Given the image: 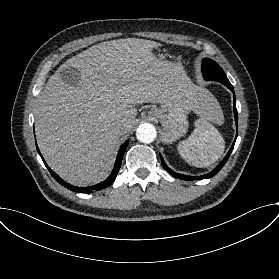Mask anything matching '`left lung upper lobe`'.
I'll use <instances>...</instances> for the list:
<instances>
[{"label": "left lung upper lobe", "mask_w": 279, "mask_h": 279, "mask_svg": "<svg viewBox=\"0 0 279 279\" xmlns=\"http://www.w3.org/2000/svg\"><path fill=\"white\" fill-rule=\"evenodd\" d=\"M202 73L206 80L218 81L226 86L231 85L223 69L209 58H205L202 62Z\"/></svg>", "instance_id": "5c2ea615"}]
</instances>
